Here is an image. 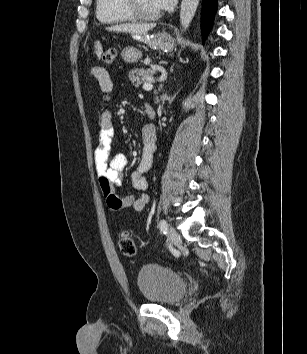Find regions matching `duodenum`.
Here are the masks:
<instances>
[{"label":"duodenum","mask_w":307,"mask_h":354,"mask_svg":"<svg viewBox=\"0 0 307 354\" xmlns=\"http://www.w3.org/2000/svg\"><path fill=\"white\" fill-rule=\"evenodd\" d=\"M146 113H147V115L149 117L153 116V110L152 109H149Z\"/></svg>","instance_id":"410a0bca"}]
</instances>
